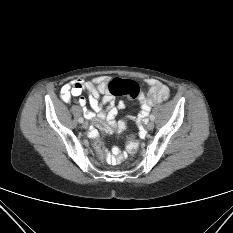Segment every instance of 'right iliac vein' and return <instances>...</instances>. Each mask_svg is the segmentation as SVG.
Wrapping results in <instances>:
<instances>
[{"instance_id": "63e3f726", "label": "right iliac vein", "mask_w": 233, "mask_h": 233, "mask_svg": "<svg viewBox=\"0 0 233 233\" xmlns=\"http://www.w3.org/2000/svg\"><path fill=\"white\" fill-rule=\"evenodd\" d=\"M88 126H89V124H88L87 121L82 122V127H83L84 129H87Z\"/></svg>"}]
</instances>
